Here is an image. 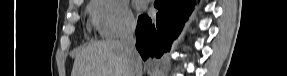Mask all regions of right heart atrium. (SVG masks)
Wrapping results in <instances>:
<instances>
[{
	"mask_svg": "<svg viewBox=\"0 0 287 76\" xmlns=\"http://www.w3.org/2000/svg\"><path fill=\"white\" fill-rule=\"evenodd\" d=\"M93 19L106 38H118L130 33L135 20L123 0H95L91 6Z\"/></svg>",
	"mask_w": 287,
	"mask_h": 76,
	"instance_id": "1",
	"label": "right heart atrium"
}]
</instances>
